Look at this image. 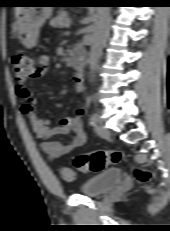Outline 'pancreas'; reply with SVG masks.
<instances>
[{
    "instance_id": "1",
    "label": "pancreas",
    "mask_w": 170,
    "mask_h": 231,
    "mask_svg": "<svg viewBox=\"0 0 170 231\" xmlns=\"http://www.w3.org/2000/svg\"><path fill=\"white\" fill-rule=\"evenodd\" d=\"M69 20L68 13L66 11H62L58 13L56 17L50 20V26L57 28L65 26V23Z\"/></svg>"
}]
</instances>
